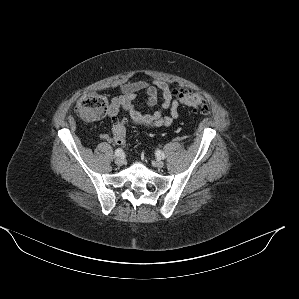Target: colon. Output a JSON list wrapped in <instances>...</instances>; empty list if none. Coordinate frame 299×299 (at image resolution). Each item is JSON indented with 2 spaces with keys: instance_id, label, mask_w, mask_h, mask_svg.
<instances>
[{
  "instance_id": "obj_1",
  "label": "colon",
  "mask_w": 299,
  "mask_h": 299,
  "mask_svg": "<svg viewBox=\"0 0 299 299\" xmlns=\"http://www.w3.org/2000/svg\"><path fill=\"white\" fill-rule=\"evenodd\" d=\"M179 101L201 113L209 112V105L205 96L198 92L184 91L178 95ZM109 102L107 97L97 93L82 94L76 104V113L86 121H96L107 115ZM113 135L120 141H125V126L116 121L113 125Z\"/></svg>"
}]
</instances>
